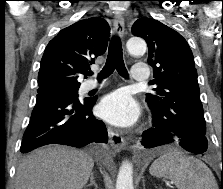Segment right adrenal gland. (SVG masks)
I'll use <instances>...</instances> for the list:
<instances>
[{"label": "right adrenal gland", "mask_w": 223, "mask_h": 189, "mask_svg": "<svg viewBox=\"0 0 223 189\" xmlns=\"http://www.w3.org/2000/svg\"><path fill=\"white\" fill-rule=\"evenodd\" d=\"M90 186H94L95 189L98 188V185L95 182L94 172H92L91 175H90V183L88 185H86L84 189H86V188H88Z\"/></svg>", "instance_id": "1"}]
</instances>
